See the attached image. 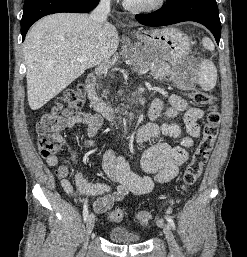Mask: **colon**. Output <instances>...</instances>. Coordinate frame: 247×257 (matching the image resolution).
<instances>
[{
  "instance_id": "1",
  "label": "colon",
  "mask_w": 247,
  "mask_h": 257,
  "mask_svg": "<svg viewBox=\"0 0 247 257\" xmlns=\"http://www.w3.org/2000/svg\"><path fill=\"white\" fill-rule=\"evenodd\" d=\"M192 100L198 105L208 106L206 121L203 125L202 138L200 139L182 177L181 187L187 190L193 186L200 177L203 167L213 149L220 124V112L214 95L203 91H193ZM84 104V89L82 86L70 88L59 96L53 106L45 112L36 125L38 134V148L40 154L47 158L56 155L61 149L60 131L67 119L80 109ZM124 218L122 210H114L109 214L113 222H120ZM137 221L142 226H147L151 220V214L147 211H139L136 214Z\"/></svg>"
}]
</instances>
